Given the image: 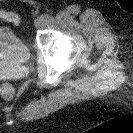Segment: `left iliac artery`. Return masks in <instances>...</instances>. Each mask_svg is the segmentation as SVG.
Returning a JSON list of instances; mask_svg holds the SVG:
<instances>
[{
  "label": "left iliac artery",
  "mask_w": 133,
  "mask_h": 133,
  "mask_svg": "<svg viewBox=\"0 0 133 133\" xmlns=\"http://www.w3.org/2000/svg\"><path fill=\"white\" fill-rule=\"evenodd\" d=\"M41 17L43 18L44 21H47L49 19L50 15L49 14H43V15H41Z\"/></svg>",
  "instance_id": "1"
}]
</instances>
